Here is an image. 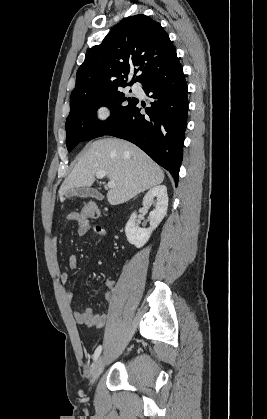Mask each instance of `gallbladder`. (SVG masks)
<instances>
[{"instance_id": "obj_1", "label": "gallbladder", "mask_w": 267, "mask_h": 419, "mask_svg": "<svg viewBox=\"0 0 267 419\" xmlns=\"http://www.w3.org/2000/svg\"><path fill=\"white\" fill-rule=\"evenodd\" d=\"M69 197L71 196H77V197H89V196H95L97 198H103V196L101 194H99L95 189H90V188H86V187H79L76 189H72L69 191L68 194Z\"/></svg>"}]
</instances>
